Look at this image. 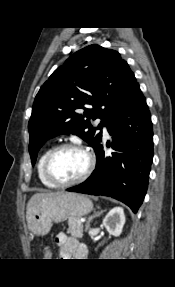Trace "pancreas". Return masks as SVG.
I'll return each mask as SVG.
<instances>
[{"label": "pancreas", "mask_w": 175, "mask_h": 287, "mask_svg": "<svg viewBox=\"0 0 175 287\" xmlns=\"http://www.w3.org/2000/svg\"><path fill=\"white\" fill-rule=\"evenodd\" d=\"M69 228L67 230L68 234L75 238H82L83 236V225L80 223L79 218L68 217Z\"/></svg>", "instance_id": "pancreas-1"}]
</instances>
